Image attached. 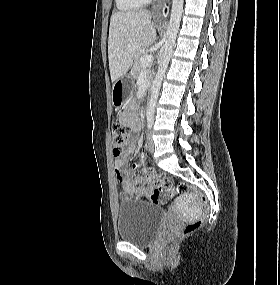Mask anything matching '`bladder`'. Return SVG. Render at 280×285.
Here are the masks:
<instances>
[{
    "instance_id": "1",
    "label": "bladder",
    "mask_w": 280,
    "mask_h": 285,
    "mask_svg": "<svg viewBox=\"0 0 280 285\" xmlns=\"http://www.w3.org/2000/svg\"><path fill=\"white\" fill-rule=\"evenodd\" d=\"M163 215L161 208L147 202H121L117 215L118 236L137 244H149L159 232Z\"/></svg>"
}]
</instances>
